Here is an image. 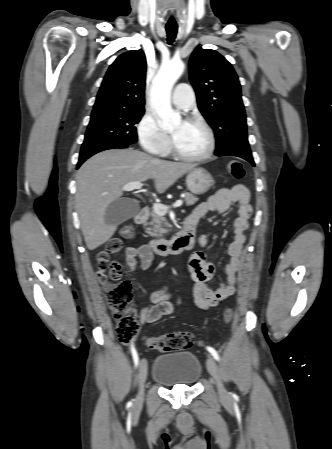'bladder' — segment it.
Wrapping results in <instances>:
<instances>
[{
	"mask_svg": "<svg viewBox=\"0 0 332 449\" xmlns=\"http://www.w3.org/2000/svg\"><path fill=\"white\" fill-rule=\"evenodd\" d=\"M201 375V362L192 352L161 354L152 368L153 380L166 387L194 385Z\"/></svg>",
	"mask_w": 332,
	"mask_h": 449,
	"instance_id": "bladder-1",
	"label": "bladder"
}]
</instances>
